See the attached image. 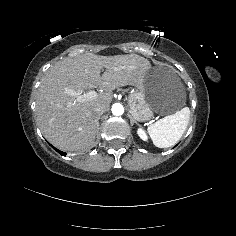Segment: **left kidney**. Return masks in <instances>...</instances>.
<instances>
[{"label":"left kidney","mask_w":236,"mask_h":236,"mask_svg":"<svg viewBox=\"0 0 236 236\" xmlns=\"http://www.w3.org/2000/svg\"><path fill=\"white\" fill-rule=\"evenodd\" d=\"M137 134L139 135V137L143 140V141H147L148 137L145 133V131L142 128H139L137 131Z\"/></svg>","instance_id":"5707ae66"}]
</instances>
